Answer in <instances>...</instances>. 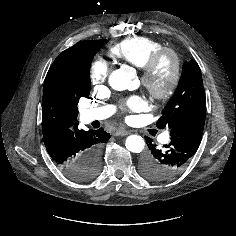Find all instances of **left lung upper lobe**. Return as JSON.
<instances>
[{"mask_svg": "<svg viewBox=\"0 0 236 236\" xmlns=\"http://www.w3.org/2000/svg\"><path fill=\"white\" fill-rule=\"evenodd\" d=\"M157 121L160 129H172L180 122L205 116L206 99L201 70L196 61L185 62L178 87Z\"/></svg>", "mask_w": 236, "mask_h": 236, "instance_id": "1", "label": "left lung upper lobe"}]
</instances>
